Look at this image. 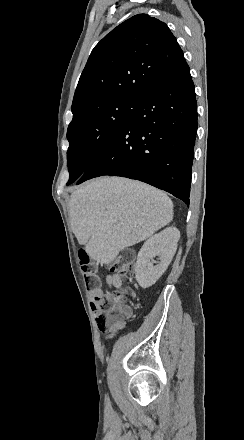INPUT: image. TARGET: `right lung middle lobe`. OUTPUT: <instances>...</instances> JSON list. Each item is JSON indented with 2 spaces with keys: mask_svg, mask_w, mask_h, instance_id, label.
Returning <instances> with one entry per match:
<instances>
[{
  "mask_svg": "<svg viewBox=\"0 0 244 440\" xmlns=\"http://www.w3.org/2000/svg\"><path fill=\"white\" fill-rule=\"evenodd\" d=\"M141 97H112L79 105L72 109L67 139V185L73 183L127 123Z\"/></svg>",
  "mask_w": 244,
  "mask_h": 440,
  "instance_id": "1",
  "label": "right lung middle lobe"
}]
</instances>
